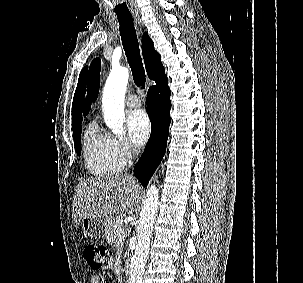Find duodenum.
<instances>
[{
	"label": "duodenum",
	"mask_w": 303,
	"mask_h": 283,
	"mask_svg": "<svg viewBox=\"0 0 303 283\" xmlns=\"http://www.w3.org/2000/svg\"><path fill=\"white\" fill-rule=\"evenodd\" d=\"M123 272L126 276H128L130 274V264L129 263H125L123 266Z\"/></svg>",
	"instance_id": "obj_1"
}]
</instances>
